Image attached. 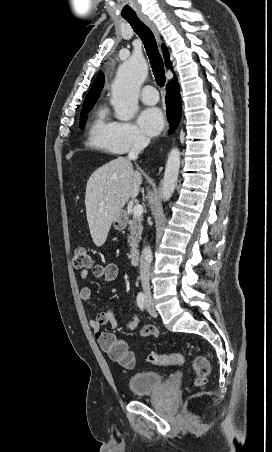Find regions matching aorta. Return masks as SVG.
<instances>
[{"mask_svg": "<svg viewBox=\"0 0 272 452\" xmlns=\"http://www.w3.org/2000/svg\"><path fill=\"white\" fill-rule=\"evenodd\" d=\"M147 63L142 55H132L119 67L112 85V99L115 116L122 121L131 120L138 109V94L147 76ZM180 151L172 148L165 166L162 181V199L168 201L177 186L180 169Z\"/></svg>", "mask_w": 272, "mask_h": 452, "instance_id": "aorta-1", "label": "aorta"}]
</instances>
